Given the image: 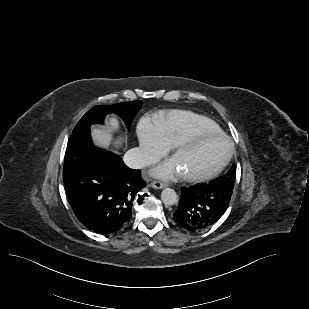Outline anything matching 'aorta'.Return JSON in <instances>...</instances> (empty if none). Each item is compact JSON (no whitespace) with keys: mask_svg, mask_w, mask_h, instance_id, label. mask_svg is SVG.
<instances>
[{"mask_svg":"<svg viewBox=\"0 0 309 309\" xmlns=\"http://www.w3.org/2000/svg\"><path fill=\"white\" fill-rule=\"evenodd\" d=\"M161 200L167 206L174 205L177 201V194L171 188H166L161 193Z\"/></svg>","mask_w":309,"mask_h":309,"instance_id":"aorta-1","label":"aorta"}]
</instances>
